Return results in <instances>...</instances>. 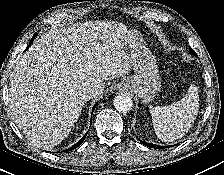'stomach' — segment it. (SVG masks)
<instances>
[{"label": "stomach", "instance_id": "1", "mask_svg": "<svg viewBox=\"0 0 224 175\" xmlns=\"http://www.w3.org/2000/svg\"><path fill=\"white\" fill-rule=\"evenodd\" d=\"M126 44L129 46L128 53L134 73L130 78L117 84V88L129 91L141 98L143 102H149L161 88L155 56L137 31H130Z\"/></svg>", "mask_w": 224, "mask_h": 175}]
</instances>
